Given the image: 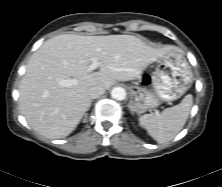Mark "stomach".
Instances as JSON below:
<instances>
[{
    "mask_svg": "<svg viewBox=\"0 0 222 187\" xmlns=\"http://www.w3.org/2000/svg\"><path fill=\"white\" fill-rule=\"evenodd\" d=\"M151 80L153 89L137 86L132 90L131 111L141 114L164 101L177 100L191 87L193 74L183 53L175 48L158 60Z\"/></svg>",
    "mask_w": 222,
    "mask_h": 187,
    "instance_id": "0dacf381",
    "label": "stomach"
}]
</instances>
